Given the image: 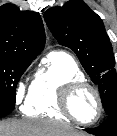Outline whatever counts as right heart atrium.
Instances as JSON below:
<instances>
[{
	"label": "right heart atrium",
	"instance_id": "right-heart-atrium-1",
	"mask_svg": "<svg viewBox=\"0 0 117 136\" xmlns=\"http://www.w3.org/2000/svg\"><path fill=\"white\" fill-rule=\"evenodd\" d=\"M29 89L30 86H28L26 79H22L18 82L14 94V100L17 105H20L22 103L26 93L29 92Z\"/></svg>",
	"mask_w": 117,
	"mask_h": 136
}]
</instances>
